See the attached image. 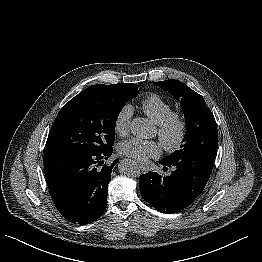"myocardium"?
Returning <instances> with one entry per match:
<instances>
[{"label": "myocardium", "instance_id": "1", "mask_svg": "<svg viewBox=\"0 0 262 262\" xmlns=\"http://www.w3.org/2000/svg\"><path fill=\"white\" fill-rule=\"evenodd\" d=\"M157 125V135L164 149L170 153L179 150L188 132V123L184 113L171 111L170 114Z\"/></svg>", "mask_w": 262, "mask_h": 262}]
</instances>
